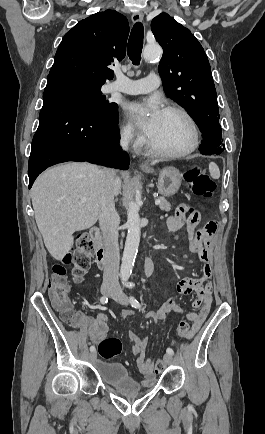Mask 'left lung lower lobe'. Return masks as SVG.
Here are the masks:
<instances>
[{"instance_id":"obj_1","label":"left lung lower lobe","mask_w":265,"mask_h":434,"mask_svg":"<svg viewBox=\"0 0 265 434\" xmlns=\"http://www.w3.org/2000/svg\"><path fill=\"white\" fill-rule=\"evenodd\" d=\"M223 149L225 147L214 146L209 140H203L202 145L199 147L200 153L204 155H219L223 152Z\"/></svg>"}]
</instances>
